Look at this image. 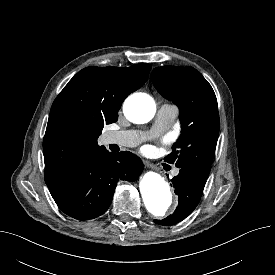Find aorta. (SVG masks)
Segmentation results:
<instances>
[{
  "label": "aorta",
  "instance_id": "762f6f07",
  "mask_svg": "<svg viewBox=\"0 0 275 275\" xmlns=\"http://www.w3.org/2000/svg\"><path fill=\"white\" fill-rule=\"evenodd\" d=\"M123 111L128 120L143 124L149 122L156 111L153 98L144 93H136L127 98ZM146 209L156 217H162L173 206L174 196L169 184L158 173H145L139 183Z\"/></svg>",
  "mask_w": 275,
  "mask_h": 275
}]
</instances>
